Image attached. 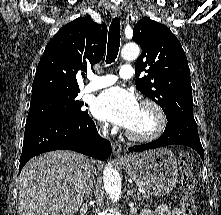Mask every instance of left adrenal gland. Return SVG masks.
Returning a JSON list of instances; mask_svg holds the SVG:
<instances>
[{
    "instance_id": "obj_1",
    "label": "left adrenal gland",
    "mask_w": 221,
    "mask_h": 215,
    "mask_svg": "<svg viewBox=\"0 0 221 215\" xmlns=\"http://www.w3.org/2000/svg\"><path fill=\"white\" fill-rule=\"evenodd\" d=\"M127 194H128V195H131V196L134 198V196H133V191L131 190V187L129 186V184H128Z\"/></svg>"
}]
</instances>
